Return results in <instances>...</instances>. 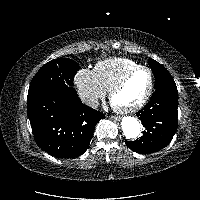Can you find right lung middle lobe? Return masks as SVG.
<instances>
[{
    "label": "right lung middle lobe",
    "mask_w": 200,
    "mask_h": 200,
    "mask_svg": "<svg viewBox=\"0 0 200 200\" xmlns=\"http://www.w3.org/2000/svg\"><path fill=\"white\" fill-rule=\"evenodd\" d=\"M79 65L71 59L61 58L46 63L33 77L28 94L39 91H66L73 86Z\"/></svg>",
    "instance_id": "1"
}]
</instances>
